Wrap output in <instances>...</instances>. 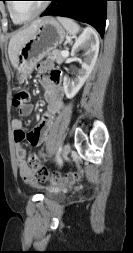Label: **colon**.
<instances>
[{"mask_svg":"<svg viewBox=\"0 0 133 253\" xmlns=\"http://www.w3.org/2000/svg\"><path fill=\"white\" fill-rule=\"evenodd\" d=\"M29 102V92L25 88L17 90L13 96V106L15 108H22ZM31 167L35 173V176L39 180H51L55 183L59 182H69L77 183L81 180V175L77 172H70L66 174H61L59 172L49 173L47 169L41 164L37 159L31 160Z\"/></svg>","mask_w":133,"mask_h":253,"instance_id":"colon-1","label":"colon"}]
</instances>
